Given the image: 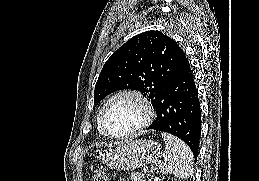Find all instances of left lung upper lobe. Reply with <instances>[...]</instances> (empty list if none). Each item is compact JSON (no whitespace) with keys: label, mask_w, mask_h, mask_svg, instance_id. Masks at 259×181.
<instances>
[{"label":"left lung upper lobe","mask_w":259,"mask_h":181,"mask_svg":"<svg viewBox=\"0 0 259 181\" xmlns=\"http://www.w3.org/2000/svg\"><path fill=\"white\" fill-rule=\"evenodd\" d=\"M178 50L179 45L159 31L134 36L104 64L95 85L94 102L120 89H134L148 96L155 108L178 72Z\"/></svg>","instance_id":"left-lung-upper-lobe-1"}]
</instances>
